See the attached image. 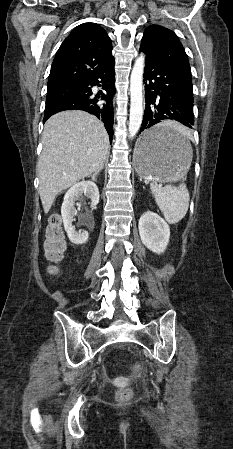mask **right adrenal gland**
<instances>
[{"label": "right adrenal gland", "mask_w": 233, "mask_h": 449, "mask_svg": "<svg viewBox=\"0 0 233 449\" xmlns=\"http://www.w3.org/2000/svg\"><path fill=\"white\" fill-rule=\"evenodd\" d=\"M102 169H103V167H102ZM101 169V170H102ZM100 172V171H99ZM99 172H95L93 175H91V179L93 180V181H96V176L98 175V173Z\"/></svg>", "instance_id": "2a0ac1e0"}]
</instances>
